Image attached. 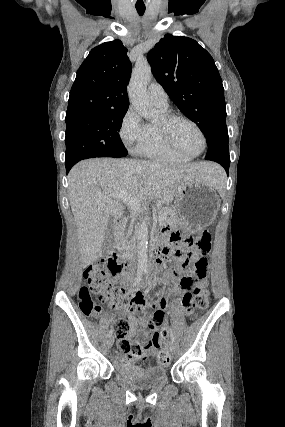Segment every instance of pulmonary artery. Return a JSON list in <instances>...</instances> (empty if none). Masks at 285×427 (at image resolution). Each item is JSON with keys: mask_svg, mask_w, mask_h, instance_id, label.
<instances>
[{"mask_svg": "<svg viewBox=\"0 0 285 427\" xmlns=\"http://www.w3.org/2000/svg\"><path fill=\"white\" fill-rule=\"evenodd\" d=\"M148 94L151 101L158 107L167 108L169 98L161 85L153 83L148 88Z\"/></svg>", "mask_w": 285, "mask_h": 427, "instance_id": "obj_1", "label": "pulmonary artery"}]
</instances>
